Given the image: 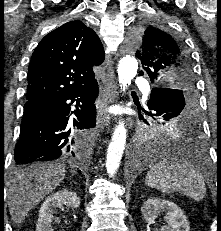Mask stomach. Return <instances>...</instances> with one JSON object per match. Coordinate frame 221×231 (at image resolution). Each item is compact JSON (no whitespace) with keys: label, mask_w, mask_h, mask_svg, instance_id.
Segmentation results:
<instances>
[{"label":"stomach","mask_w":221,"mask_h":231,"mask_svg":"<svg viewBox=\"0 0 221 231\" xmlns=\"http://www.w3.org/2000/svg\"><path fill=\"white\" fill-rule=\"evenodd\" d=\"M169 128V127H168ZM178 128V126H176V127H173V130H176ZM167 133V132H166Z\"/></svg>","instance_id":"1"}]
</instances>
